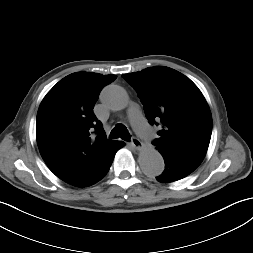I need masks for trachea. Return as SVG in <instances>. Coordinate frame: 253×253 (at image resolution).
Returning a JSON list of instances; mask_svg holds the SVG:
<instances>
[{"instance_id": "1", "label": "trachea", "mask_w": 253, "mask_h": 253, "mask_svg": "<svg viewBox=\"0 0 253 253\" xmlns=\"http://www.w3.org/2000/svg\"><path fill=\"white\" fill-rule=\"evenodd\" d=\"M121 138L125 141H130V133L123 124H117L110 133V139Z\"/></svg>"}]
</instances>
